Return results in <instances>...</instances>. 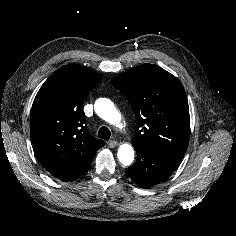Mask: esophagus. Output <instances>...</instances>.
<instances>
[{
  "mask_svg": "<svg viewBox=\"0 0 236 236\" xmlns=\"http://www.w3.org/2000/svg\"><path fill=\"white\" fill-rule=\"evenodd\" d=\"M110 148H115L118 145V142L115 140H111L108 142Z\"/></svg>",
  "mask_w": 236,
  "mask_h": 236,
  "instance_id": "1",
  "label": "esophagus"
}]
</instances>
